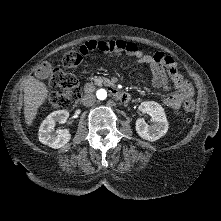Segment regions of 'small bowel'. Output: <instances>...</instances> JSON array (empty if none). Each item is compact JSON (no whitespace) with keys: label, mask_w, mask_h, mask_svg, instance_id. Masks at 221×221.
I'll list each match as a JSON object with an SVG mask.
<instances>
[{"label":"small bowel","mask_w":221,"mask_h":221,"mask_svg":"<svg viewBox=\"0 0 221 221\" xmlns=\"http://www.w3.org/2000/svg\"><path fill=\"white\" fill-rule=\"evenodd\" d=\"M79 51L87 56L92 52H101L112 56L125 54L137 63L147 64L152 73V83L156 88H166L168 79L174 86L170 95H165L162 101L173 110H178L182 103L192 96V89L182 74L178 71L174 60L163 52L154 54L143 53L136 43L127 40H88L79 47Z\"/></svg>","instance_id":"c3829d8e"}]
</instances>
